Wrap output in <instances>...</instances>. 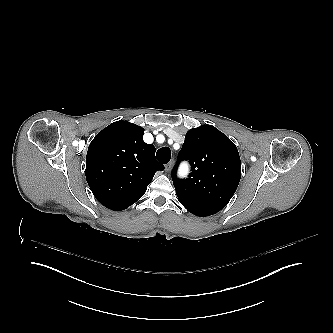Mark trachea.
I'll list each match as a JSON object with an SVG mask.
<instances>
[{
	"label": "trachea",
	"instance_id": "1",
	"mask_svg": "<svg viewBox=\"0 0 333 333\" xmlns=\"http://www.w3.org/2000/svg\"><path fill=\"white\" fill-rule=\"evenodd\" d=\"M170 158L171 151L168 147L160 148L156 153V159L163 164L168 163L170 161Z\"/></svg>",
	"mask_w": 333,
	"mask_h": 333
}]
</instances>
